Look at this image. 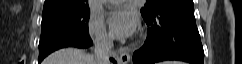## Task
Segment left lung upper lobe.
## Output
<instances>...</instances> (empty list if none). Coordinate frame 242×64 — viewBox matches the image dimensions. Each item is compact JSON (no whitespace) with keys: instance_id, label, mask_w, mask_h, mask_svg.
I'll return each mask as SVG.
<instances>
[{"instance_id":"5c2ea615","label":"left lung upper lobe","mask_w":242,"mask_h":64,"mask_svg":"<svg viewBox=\"0 0 242 64\" xmlns=\"http://www.w3.org/2000/svg\"><path fill=\"white\" fill-rule=\"evenodd\" d=\"M170 0H146L145 6L141 9L142 16L152 15L162 4Z\"/></svg>"}]
</instances>
